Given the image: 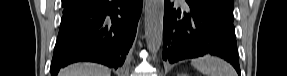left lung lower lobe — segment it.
Instances as JSON below:
<instances>
[{
  "label": "left lung lower lobe",
  "instance_id": "obj_1",
  "mask_svg": "<svg viewBox=\"0 0 287 76\" xmlns=\"http://www.w3.org/2000/svg\"><path fill=\"white\" fill-rule=\"evenodd\" d=\"M185 1L188 11L181 12L165 0L163 59L175 63L211 54L224 58L240 74L232 21L192 0Z\"/></svg>",
  "mask_w": 287,
  "mask_h": 76
}]
</instances>
